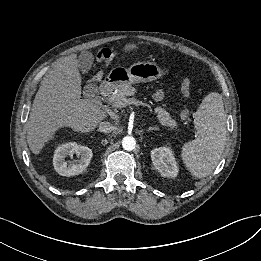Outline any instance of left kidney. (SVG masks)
Instances as JSON below:
<instances>
[{
    "label": "left kidney",
    "mask_w": 261,
    "mask_h": 261,
    "mask_svg": "<svg viewBox=\"0 0 261 261\" xmlns=\"http://www.w3.org/2000/svg\"><path fill=\"white\" fill-rule=\"evenodd\" d=\"M151 160L155 169L163 177H176L178 166L169 147L155 148L151 151Z\"/></svg>",
    "instance_id": "left-kidney-1"
}]
</instances>
